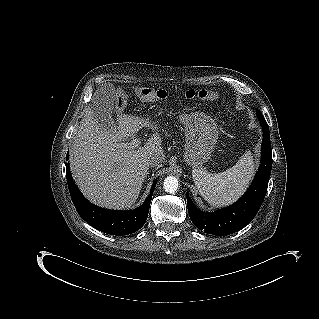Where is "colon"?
Segmentation results:
<instances>
[{
	"instance_id": "colon-1",
	"label": "colon",
	"mask_w": 319,
	"mask_h": 319,
	"mask_svg": "<svg viewBox=\"0 0 319 319\" xmlns=\"http://www.w3.org/2000/svg\"><path fill=\"white\" fill-rule=\"evenodd\" d=\"M134 93L143 101L153 102L162 100L167 97V92L162 89H155L150 86H140L134 89ZM183 97L187 100H214L216 93L209 90H194L190 89L184 92ZM127 104V95L123 91H119L116 96V106L119 110H123Z\"/></svg>"
}]
</instances>
